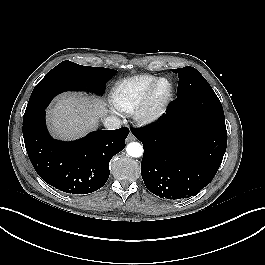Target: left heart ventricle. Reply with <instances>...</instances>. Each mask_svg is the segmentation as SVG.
I'll use <instances>...</instances> for the list:
<instances>
[{
    "mask_svg": "<svg viewBox=\"0 0 265 265\" xmlns=\"http://www.w3.org/2000/svg\"><path fill=\"white\" fill-rule=\"evenodd\" d=\"M169 90V84L167 81H162L157 87L156 90V98L160 99L162 98Z\"/></svg>",
    "mask_w": 265,
    "mask_h": 265,
    "instance_id": "1",
    "label": "left heart ventricle"
}]
</instances>
